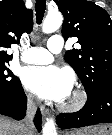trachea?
Segmentation results:
<instances>
[{
    "instance_id": "3493384b",
    "label": "trachea",
    "mask_w": 112,
    "mask_h": 135,
    "mask_svg": "<svg viewBox=\"0 0 112 135\" xmlns=\"http://www.w3.org/2000/svg\"><path fill=\"white\" fill-rule=\"evenodd\" d=\"M35 8L37 24H41L46 9V0H36Z\"/></svg>"
}]
</instances>
